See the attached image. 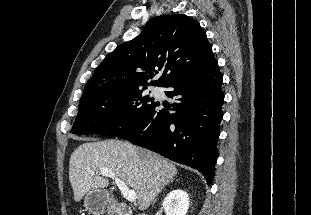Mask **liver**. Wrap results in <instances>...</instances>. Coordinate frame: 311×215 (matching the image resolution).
I'll use <instances>...</instances> for the list:
<instances>
[{
  "mask_svg": "<svg viewBox=\"0 0 311 215\" xmlns=\"http://www.w3.org/2000/svg\"><path fill=\"white\" fill-rule=\"evenodd\" d=\"M85 141L74 150L69 161V180L76 202L91 190H104L109 185V180L100 173L108 169L136 192L139 209L146 210L178 172L169 160L129 142Z\"/></svg>",
  "mask_w": 311,
  "mask_h": 215,
  "instance_id": "6515ba94",
  "label": "liver"
}]
</instances>
